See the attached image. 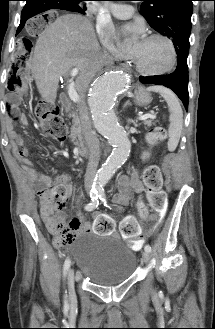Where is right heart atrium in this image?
I'll return each mask as SVG.
<instances>
[{
  "label": "right heart atrium",
  "instance_id": "d8ad5b80",
  "mask_svg": "<svg viewBox=\"0 0 215 329\" xmlns=\"http://www.w3.org/2000/svg\"><path fill=\"white\" fill-rule=\"evenodd\" d=\"M96 30L102 43L116 58H121L124 56L116 45L115 32L113 27L109 23L99 21L97 23Z\"/></svg>",
  "mask_w": 215,
  "mask_h": 329
}]
</instances>
